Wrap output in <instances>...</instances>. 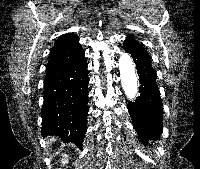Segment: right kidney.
Masks as SVG:
<instances>
[{
	"label": "right kidney",
	"instance_id": "ca27d5eb",
	"mask_svg": "<svg viewBox=\"0 0 200 169\" xmlns=\"http://www.w3.org/2000/svg\"><path fill=\"white\" fill-rule=\"evenodd\" d=\"M64 157L67 158V155L65 154ZM62 163H67V160L62 161Z\"/></svg>",
	"mask_w": 200,
	"mask_h": 169
}]
</instances>
